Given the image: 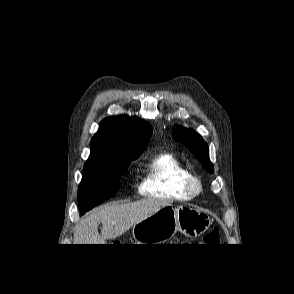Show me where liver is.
Masks as SVG:
<instances>
[{"instance_id":"obj_1","label":"liver","mask_w":294,"mask_h":294,"mask_svg":"<svg viewBox=\"0 0 294 294\" xmlns=\"http://www.w3.org/2000/svg\"><path fill=\"white\" fill-rule=\"evenodd\" d=\"M168 205L170 202L167 200L146 198L131 203H112L94 209L76 225L74 244H106V239L121 236L133 225ZM100 223L102 228L99 234Z\"/></svg>"}]
</instances>
